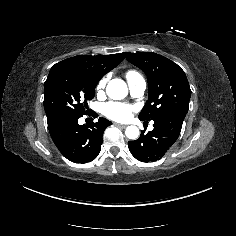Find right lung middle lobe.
<instances>
[{"instance_id": "dd1d6c3e", "label": "right lung middle lobe", "mask_w": 236, "mask_h": 236, "mask_svg": "<svg viewBox=\"0 0 236 236\" xmlns=\"http://www.w3.org/2000/svg\"><path fill=\"white\" fill-rule=\"evenodd\" d=\"M99 80L95 70L90 67L62 62L53 65L44 83L47 122L87 114V101L94 97Z\"/></svg>"}]
</instances>
